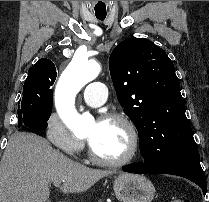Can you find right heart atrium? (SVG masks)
I'll use <instances>...</instances> for the list:
<instances>
[{"label":"right heart atrium","instance_id":"1","mask_svg":"<svg viewBox=\"0 0 209 202\" xmlns=\"http://www.w3.org/2000/svg\"><path fill=\"white\" fill-rule=\"evenodd\" d=\"M49 141L69 156L78 155L84 147V140L73 134L56 116L52 115L47 124Z\"/></svg>","mask_w":209,"mask_h":202}]
</instances>
